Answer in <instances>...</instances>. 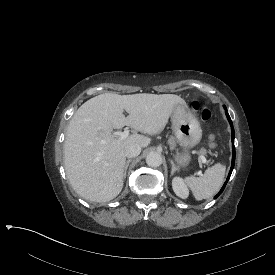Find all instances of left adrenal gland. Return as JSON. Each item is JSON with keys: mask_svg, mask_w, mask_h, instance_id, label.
Returning a JSON list of instances; mask_svg holds the SVG:
<instances>
[{"mask_svg": "<svg viewBox=\"0 0 275 275\" xmlns=\"http://www.w3.org/2000/svg\"><path fill=\"white\" fill-rule=\"evenodd\" d=\"M170 162H171L170 175H172L176 169H179V166L176 163H174L172 158L170 159Z\"/></svg>", "mask_w": 275, "mask_h": 275, "instance_id": "left-adrenal-gland-1", "label": "left adrenal gland"}]
</instances>
